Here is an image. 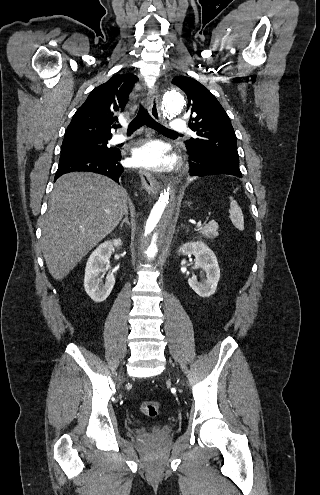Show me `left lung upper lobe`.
Listing matches in <instances>:
<instances>
[{"mask_svg":"<svg viewBox=\"0 0 320 495\" xmlns=\"http://www.w3.org/2000/svg\"><path fill=\"white\" fill-rule=\"evenodd\" d=\"M172 84L186 93L189 127L198 136L186 141L188 152H201L216 161L239 166L234 129L215 96L191 77L177 76Z\"/></svg>","mask_w":320,"mask_h":495,"instance_id":"1","label":"left lung upper lobe"}]
</instances>
